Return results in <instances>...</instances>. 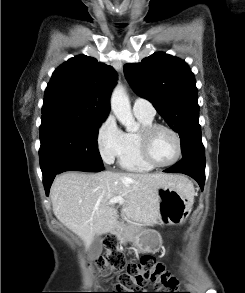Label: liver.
I'll return each mask as SVG.
<instances>
[{
  "mask_svg": "<svg viewBox=\"0 0 245 293\" xmlns=\"http://www.w3.org/2000/svg\"><path fill=\"white\" fill-rule=\"evenodd\" d=\"M176 187L193 199L187 178L166 173L95 174L67 172L55 178L50 197L56 218L77 234L88 249L95 235L115 230L117 210L109 200L122 197L123 214L132 221L154 225L159 219L158 189Z\"/></svg>",
  "mask_w": 245,
  "mask_h": 293,
  "instance_id": "liver-1",
  "label": "liver"
}]
</instances>
